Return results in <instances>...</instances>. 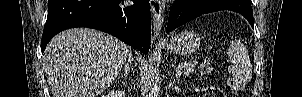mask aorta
I'll return each mask as SVG.
<instances>
[{"instance_id": "762f6f07", "label": "aorta", "mask_w": 302, "mask_h": 97, "mask_svg": "<svg viewBox=\"0 0 302 97\" xmlns=\"http://www.w3.org/2000/svg\"><path fill=\"white\" fill-rule=\"evenodd\" d=\"M150 87H149V95L148 97H158L159 96V87L156 83V77L152 73L150 76Z\"/></svg>"}]
</instances>
